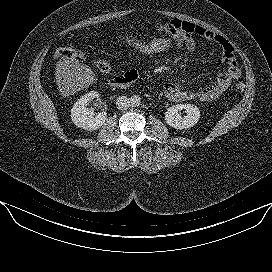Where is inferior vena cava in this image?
Masks as SVG:
<instances>
[{
    "label": "inferior vena cava",
    "instance_id": "obj_1",
    "mask_svg": "<svg viewBox=\"0 0 272 272\" xmlns=\"http://www.w3.org/2000/svg\"><path fill=\"white\" fill-rule=\"evenodd\" d=\"M116 105L119 110H127L131 106L130 99L126 96H120L116 100Z\"/></svg>",
    "mask_w": 272,
    "mask_h": 272
}]
</instances>
